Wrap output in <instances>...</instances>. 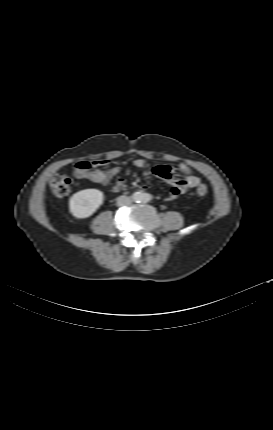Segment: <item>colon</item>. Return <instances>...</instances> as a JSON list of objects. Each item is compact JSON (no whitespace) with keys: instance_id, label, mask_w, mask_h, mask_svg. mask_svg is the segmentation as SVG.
<instances>
[{"instance_id":"obj_1","label":"colon","mask_w":273,"mask_h":430,"mask_svg":"<svg viewBox=\"0 0 273 430\" xmlns=\"http://www.w3.org/2000/svg\"><path fill=\"white\" fill-rule=\"evenodd\" d=\"M73 179L65 173L56 174L50 181V189L57 197H65L71 191ZM198 196H205L208 193V186L201 183L196 188Z\"/></svg>"}]
</instances>
